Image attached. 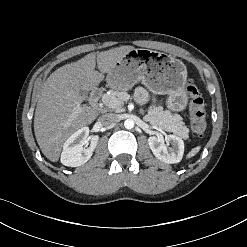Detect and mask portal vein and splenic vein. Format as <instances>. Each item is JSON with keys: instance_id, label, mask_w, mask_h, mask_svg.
<instances>
[{"instance_id": "obj_1", "label": "portal vein and splenic vein", "mask_w": 247, "mask_h": 247, "mask_svg": "<svg viewBox=\"0 0 247 247\" xmlns=\"http://www.w3.org/2000/svg\"><path fill=\"white\" fill-rule=\"evenodd\" d=\"M111 106H117L118 105V101L117 100H113L109 103Z\"/></svg>"}]
</instances>
